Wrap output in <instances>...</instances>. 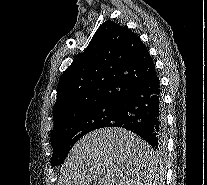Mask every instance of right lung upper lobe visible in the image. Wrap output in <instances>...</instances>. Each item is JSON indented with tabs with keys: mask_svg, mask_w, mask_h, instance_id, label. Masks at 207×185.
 <instances>
[{
	"mask_svg": "<svg viewBox=\"0 0 207 185\" xmlns=\"http://www.w3.org/2000/svg\"><path fill=\"white\" fill-rule=\"evenodd\" d=\"M155 75L154 62L140 38L107 20L61 75L54 125L85 110L119 103L133 86Z\"/></svg>",
	"mask_w": 207,
	"mask_h": 185,
	"instance_id": "obj_1",
	"label": "right lung upper lobe"
}]
</instances>
